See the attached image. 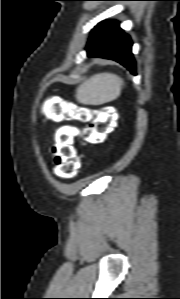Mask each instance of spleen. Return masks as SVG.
<instances>
[{
  "label": "spleen",
  "mask_w": 180,
  "mask_h": 299,
  "mask_svg": "<svg viewBox=\"0 0 180 299\" xmlns=\"http://www.w3.org/2000/svg\"><path fill=\"white\" fill-rule=\"evenodd\" d=\"M123 80L112 73L93 75L76 90V99L87 105H99L110 102L120 95Z\"/></svg>",
  "instance_id": "obj_1"
}]
</instances>
